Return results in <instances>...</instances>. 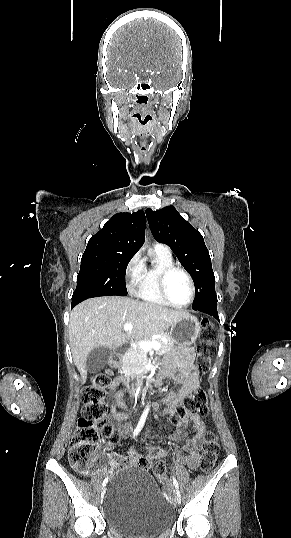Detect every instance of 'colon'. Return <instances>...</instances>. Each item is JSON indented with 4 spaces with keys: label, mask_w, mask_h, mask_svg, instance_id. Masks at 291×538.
<instances>
[{
    "label": "colon",
    "mask_w": 291,
    "mask_h": 538,
    "mask_svg": "<svg viewBox=\"0 0 291 538\" xmlns=\"http://www.w3.org/2000/svg\"><path fill=\"white\" fill-rule=\"evenodd\" d=\"M216 338V332L207 320L203 321V329L200 333L201 342L196 347L194 364L201 375H205L210 369L211 358L214 355L212 342ZM120 358L115 355L110 358L109 367L106 371L93 375L85 388L82 398L84 407L78 419V426L69 449L68 457L71 466L79 474L90 473L98 463V445L103 437H115L114 428L107 418L108 405L106 402L107 391L111 385L114 372L120 367ZM208 412L207 396L204 391H196L184 398L177 408L173 417L174 423H179L187 415H205ZM219 453V443L216 434L208 431L204 436L201 469L209 471L213 468ZM138 467L142 470L152 469L158 480L168 483L166 467L162 461L154 464L147 458L141 457Z\"/></svg>",
    "instance_id": "obj_1"
}]
</instances>
